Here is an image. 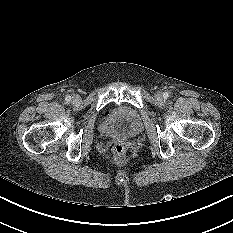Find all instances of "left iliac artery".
<instances>
[{"instance_id": "left-iliac-artery-1", "label": "left iliac artery", "mask_w": 233, "mask_h": 233, "mask_svg": "<svg viewBox=\"0 0 233 233\" xmlns=\"http://www.w3.org/2000/svg\"><path fill=\"white\" fill-rule=\"evenodd\" d=\"M163 97H164L165 99H167V98L169 97V94H168L167 92H165V93L163 94Z\"/></svg>"}]
</instances>
